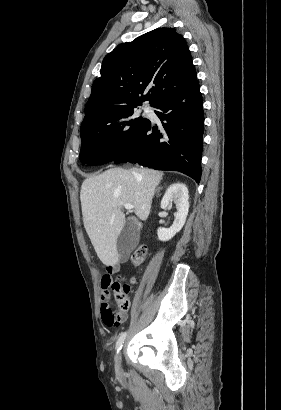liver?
<instances>
[{
    "mask_svg": "<svg viewBox=\"0 0 281 410\" xmlns=\"http://www.w3.org/2000/svg\"><path fill=\"white\" fill-rule=\"evenodd\" d=\"M163 173L147 168L109 169L83 181L80 191L83 223L101 262L114 266L119 262L117 239L126 223L122 204L134 206L136 216L144 221ZM142 223L136 217H129Z\"/></svg>",
    "mask_w": 281,
    "mask_h": 410,
    "instance_id": "6515ba94",
    "label": "liver"
}]
</instances>
